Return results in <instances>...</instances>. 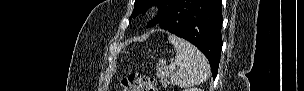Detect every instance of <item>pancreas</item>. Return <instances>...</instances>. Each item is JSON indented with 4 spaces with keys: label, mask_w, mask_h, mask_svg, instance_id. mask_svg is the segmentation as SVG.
<instances>
[{
    "label": "pancreas",
    "mask_w": 304,
    "mask_h": 91,
    "mask_svg": "<svg viewBox=\"0 0 304 91\" xmlns=\"http://www.w3.org/2000/svg\"><path fill=\"white\" fill-rule=\"evenodd\" d=\"M173 74V71L163 64L157 65V77L160 78L161 82L166 85L168 84V78Z\"/></svg>",
    "instance_id": "1"
}]
</instances>
